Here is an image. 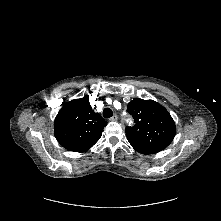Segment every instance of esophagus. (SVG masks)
I'll list each match as a JSON object with an SVG mask.
<instances>
[{
    "mask_svg": "<svg viewBox=\"0 0 221 221\" xmlns=\"http://www.w3.org/2000/svg\"><path fill=\"white\" fill-rule=\"evenodd\" d=\"M118 120V116L116 114H114L111 118L110 121H117Z\"/></svg>",
    "mask_w": 221,
    "mask_h": 221,
    "instance_id": "esophagus-1",
    "label": "esophagus"
}]
</instances>
